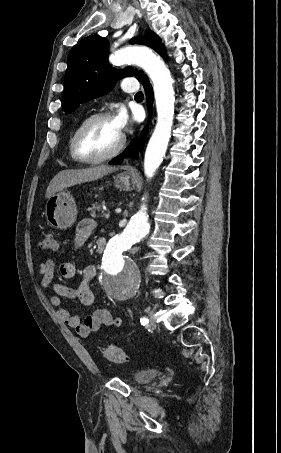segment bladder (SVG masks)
<instances>
[{
    "mask_svg": "<svg viewBox=\"0 0 281 453\" xmlns=\"http://www.w3.org/2000/svg\"><path fill=\"white\" fill-rule=\"evenodd\" d=\"M156 375H157L156 370H142L134 375L133 381L136 384L148 383L151 380H153L156 377Z\"/></svg>",
    "mask_w": 281,
    "mask_h": 453,
    "instance_id": "bladder-1",
    "label": "bladder"
}]
</instances>
